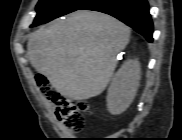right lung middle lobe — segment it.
I'll list each match as a JSON object with an SVG mask.
<instances>
[{
    "label": "right lung middle lobe",
    "instance_id": "1",
    "mask_svg": "<svg viewBox=\"0 0 182 140\" xmlns=\"http://www.w3.org/2000/svg\"><path fill=\"white\" fill-rule=\"evenodd\" d=\"M90 0H40L32 26L47 23L57 17L78 10Z\"/></svg>",
    "mask_w": 182,
    "mask_h": 140
}]
</instances>
